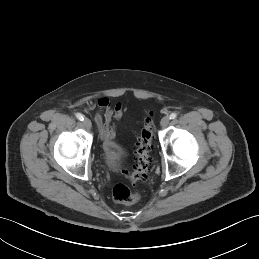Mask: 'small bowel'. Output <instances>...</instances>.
I'll return each mask as SVG.
<instances>
[{
  "mask_svg": "<svg viewBox=\"0 0 259 259\" xmlns=\"http://www.w3.org/2000/svg\"><path fill=\"white\" fill-rule=\"evenodd\" d=\"M90 107H96L95 123L100 137L105 142H112L115 138L116 122L121 119L123 106L117 103L113 106L107 97H100Z\"/></svg>",
  "mask_w": 259,
  "mask_h": 259,
  "instance_id": "c3829d8e",
  "label": "small bowel"
}]
</instances>
